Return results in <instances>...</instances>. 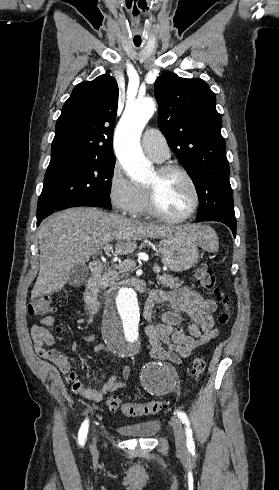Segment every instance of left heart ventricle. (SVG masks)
<instances>
[{"mask_svg":"<svg viewBox=\"0 0 279 490\" xmlns=\"http://www.w3.org/2000/svg\"><path fill=\"white\" fill-rule=\"evenodd\" d=\"M148 185L157 187V199L161 209L170 216H181L192 206L194 194L188 181L179 173L159 175L157 170Z\"/></svg>","mask_w":279,"mask_h":490,"instance_id":"1","label":"left heart ventricle"}]
</instances>
